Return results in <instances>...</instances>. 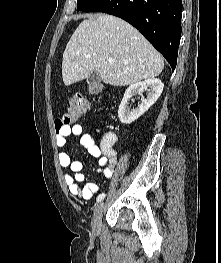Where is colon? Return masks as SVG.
Wrapping results in <instances>:
<instances>
[{
	"label": "colon",
	"instance_id": "1",
	"mask_svg": "<svg viewBox=\"0 0 221 263\" xmlns=\"http://www.w3.org/2000/svg\"><path fill=\"white\" fill-rule=\"evenodd\" d=\"M88 109L89 103L85 98L82 96L72 97L68 111L55 120V128L57 132H60L72 122L78 120L88 111Z\"/></svg>",
	"mask_w": 221,
	"mask_h": 263
}]
</instances>
